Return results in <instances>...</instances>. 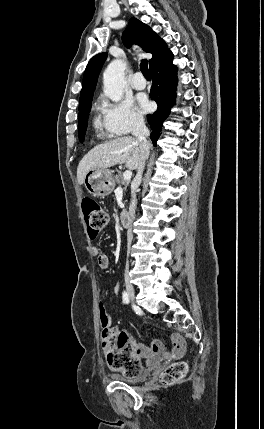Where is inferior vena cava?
Segmentation results:
<instances>
[{
  "instance_id": "1",
  "label": "inferior vena cava",
  "mask_w": 264,
  "mask_h": 429,
  "mask_svg": "<svg viewBox=\"0 0 264 429\" xmlns=\"http://www.w3.org/2000/svg\"><path fill=\"white\" fill-rule=\"evenodd\" d=\"M132 134L137 138L139 142L140 149H141V161L138 165L137 175L134 179L135 188H133L132 190V200L130 205L131 213H130V217L128 218L130 223L128 224L129 228H127L128 241L126 242L127 245L125 246L127 249L130 247L129 244L131 243L130 241L132 240L131 236H133V229L135 228V225L133 222L137 220V218L135 217V210H136V204H137L136 189H137V186L141 183L142 174L145 167V161L148 158L149 149H150V144L147 141V137L149 136L150 133L148 128L145 126V122L143 118H136L134 120ZM127 268H128V261L126 263V269Z\"/></svg>"
}]
</instances>
